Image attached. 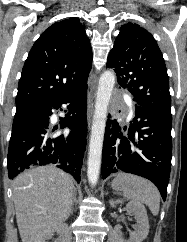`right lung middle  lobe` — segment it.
Instances as JSON below:
<instances>
[{
    "mask_svg": "<svg viewBox=\"0 0 187 242\" xmlns=\"http://www.w3.org/2000/svg\"><path fill=\"white\" fill-rule=\"evenodd\" d=\"M19 110H21V109H16V112L19 111Z\"/></svg>",
    "mask_w": 187,
    "mask_h": 242,
    "instance_id": "dd1d6c3e",
    "label": "right lung middle lobe"
}]
</instances>
